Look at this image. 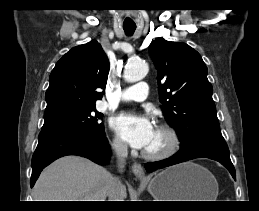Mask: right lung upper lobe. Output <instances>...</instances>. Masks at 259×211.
I'll return each instance as SVG.
<instances>
[{
    "label": "right lung upper lobe",
    "mask_w": 259,
    "mask_h": 211,
    "mask_svg": "<svg viewBox=\"0 0 259 211\" xmlns=\"http://www.w3.org/2000/svg\"><path fill=\"white\" fill-rule=\"evenodd\" d=\"M109 60L97 41L72 48L55 65L46 91L44 123L95 107L106 86Z\"/></svg>",
    "instance_id": "obj_1"
}]
</instances>
